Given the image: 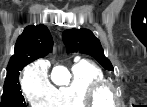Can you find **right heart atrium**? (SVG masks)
Wrapping results in <instances>:
<instances>
[{"mask_svg":"<svg viewBox=\"0 0 147 107\" xmlns=\"http://www.w3.org/2000/svg\"><path fill=\"white\" fill-rule=\"evenodd\" d=\"M22 89L28 102L36 106L48 104L54 94L47 69L41 64H33L26 70L22 79Z\"/></svg>","mask_w":147,"mask_h":107,"instance_id":"obj_1","label":"right heart atrium"}]
</instances>
